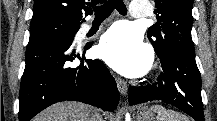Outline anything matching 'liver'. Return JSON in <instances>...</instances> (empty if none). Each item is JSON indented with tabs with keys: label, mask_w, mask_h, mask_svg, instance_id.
Wrapping results in <instances>:
<instances>
[{
	"label": "liver",
	"mask_w": 217,
	"mask_h": 121,
	"mask_svg": "<svg viewBox=\"0 0 217 121\" xmlns=\"http://www.w3.org/2000/svg\"><path fill=\"white\" fill-rule=\"evenodd\" d=\"M92 107L80 102L56 103L39 115L33 121H91Z\"/></svg>",
	"instance_id": "obj_1"
}]
</instances>
